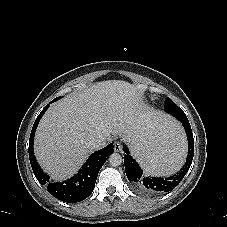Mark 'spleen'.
I'll use <instances>...</instances> for the list:
<instances>
[{
  "instance_id": "spleen-1",
  "label": "spleen",
  "mask_w": 227,
  "mask_h": 227,
  "mask_svg": "<svg viewBox=\"0 0 227 227\" xmlns=\"http://www.w3.org/2000/svg\"><path fill=\"white\" fill-rule=\"evenodd\" d=\"M188 138L184 127L172 116L155 117L133 135L131 152L147 173L169 175L183 164Z\"/></svg>"
}]
</instances>
